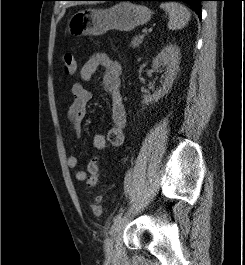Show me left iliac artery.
<instances>
[{
    "label": "left iliac artery",
    "mask_w": 245,
    "mask_h": 265,
    "mask_svg": "<svg viewBox=\"0 0 245 265\" xmlns=\"http://www.w3.org/2000/svg\"><path fill=\"white\" fill-rule=\"evenodd\" d=\"M132 172L133 170L132 169H129L126 173V176H125V180H124V190H125V193L128 194L129 193V188H130V182H131V176H132ZM123 213L122 211L117 214L115 217H114V221H117L119 219H121Z\"/></svg>",
    "instance_id": "left-iliac-artery-1"
}]
</instances>
